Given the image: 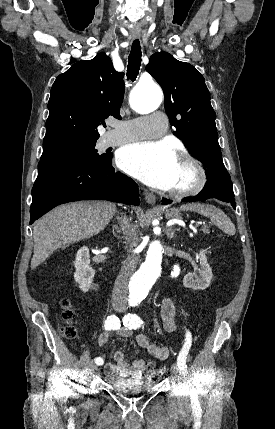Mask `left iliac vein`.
I'll return each mask as SVG.
<instances>
[{"label": "left iliac vein", "instance_id": "obj_1", "mask_svg": "<svg viewBox=\"0 0 275 429\" xmlns=\"http://www.w3.org/2000/svg\"><path fill=\"white\" fill-rule=\"evenodd\" d=\"M178 372H179V369H178L177 365H176V364H173V365H172V375H173L174 377H178Z\"/></svg>", "mask_w": 275, "mask_h": 429}]
</instances>
